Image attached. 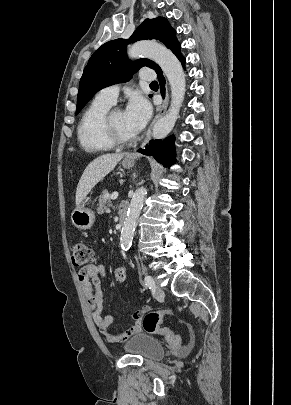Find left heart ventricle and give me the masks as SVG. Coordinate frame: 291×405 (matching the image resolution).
<instances>
[{
    "label": "left heart ventricle",
    "instance_id": "1",
    "mask_svg": "<svg viewBox=\"0 0 291 405\" xmlns=\"http://www.w3.org/2000/svg\"><path fill=\"white\" fill-rule=\"evenodd\" d=\"M113 124L116 131L121 137L132 138L135 136V134L128 127L124 111L118 110L114 113Z\"/></svg>",
    "mask_w": 291,
    "mask_h": 405
}]
</instances>
